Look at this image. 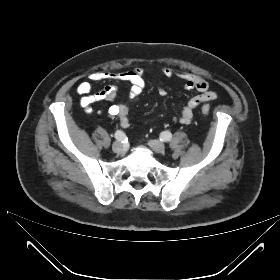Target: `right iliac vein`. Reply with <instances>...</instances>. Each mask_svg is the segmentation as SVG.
Listing matches in <instances>:
<instances>
[{
	"instance_id": "63e3f726",
	"label": "right iliac vein",
	"mask_w": 280,
	"mask_h": 280,
	"mask_svg": "<svg viewBox=\"0 0 280 280\" xmlns=\"http://www.w3.org/2000/svg\"><path fill=\"white\" fill-rule=\"evenodd\" d=\"M112 149L115 153H123L124 152V146L120 142H115L112 146Z\"/></svg>"
}]
</instances>
